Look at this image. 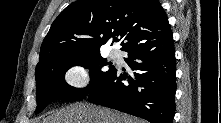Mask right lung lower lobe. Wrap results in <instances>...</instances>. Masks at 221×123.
<instances>
[{
	"mask_svg": "<svg viewBox=\"0 0 221 123\" xmlns=\"http://www.w3.org/2000/svg\"><path fill=\"white\" fill-rule=\"evenodd\" d=\"M127 52L125 61L136 72L127 75L115 69L89 91L88 99L151 123H172L176 93L173 36Z\"/></svg>",
	"mask_w": 221,
	"mask_h": 123,
	"instance_id": "98d812e1",
	"label": "right lung lower lobe"
}]
</instances>
